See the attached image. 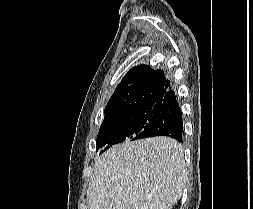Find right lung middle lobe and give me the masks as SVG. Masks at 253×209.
Listing matches in <instances>:
<instances>
[{
  "label": "right lung middle lobe",
  "instance_id": "1",
  "mask_svg": "<svg viewBox=\"0 0 253 209\" xmlns=\"http://www.w3.org/2000/svg\"><path fill=\"white\" fill-rule=\"evenodd\" d=\"M158 114L152 106L140 107L103 122L96 140V152L101 154L124 140L140 139L139 134L155 123Z\"/></svg>",
  "mask_w": 253,
  "mask_h": 209
}]
</instances>
